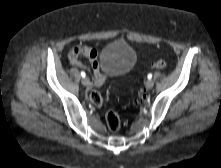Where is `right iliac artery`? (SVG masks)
<instances>
[{
	"label": "right iliac artery",
	"mask_w": 221,
	"mask_h": 168,
	"mask_svg": "<svg viewBox=\"0 0 221 168\" xmlns=\"http://www.w3.org/2000/svg\"><path fill=\"white\" fill-rule=\"evenodd\" d=\"M81 76H82L83 78L86 76V74H85L84 71L81 72Z\"/></svg>",
	"instance_id": "obj_1"
}]
</instances>
